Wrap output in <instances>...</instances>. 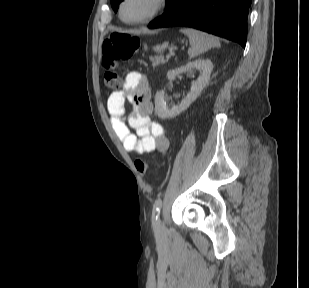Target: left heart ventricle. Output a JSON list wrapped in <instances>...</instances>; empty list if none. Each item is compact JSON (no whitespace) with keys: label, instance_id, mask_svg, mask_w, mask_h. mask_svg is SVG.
I'll return each mask as SVG.
<instances>
[{"label":"left heart ventricle","instance_id":"1","mask_svg":"<svg viewBox=\"0 0 309 288\" xmlns=\"http://www.w3.org/2000/svg\"><path fill=\"white\" fill-rule=\"evenodd\" d=\"M154 5L153 0H128L123 15L128 21L142 19L150 13Z\"/></svg>","mask_w":309,"mask_h":288}]
</instances>
